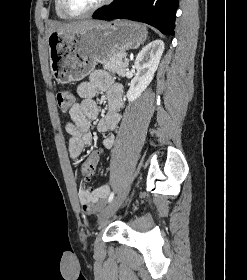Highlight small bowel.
Here are the masks:
<instances>
[{
  "instance_id": "1",
  "label": "small bowel",
  "mask_w": 247,
  "mask_h": 280,
  "mask_svg": "<svg viewBox=\"0 0 247 280\" xmlns=\"http://www.w3.org/2000/svg\"><path fill=\"white\" fill-rule=\"evenodd\" d=\"M97 92L106 93L108 101V110L101 118H99L100 108L94 100ZM77 93L82 100L73 104L69 110L70 121L66 124V132L70 136L68 153L73 160H77L84 148L92 143V134L89 131L91 122L98 120L97 130L100 133L115 130L120 122L119 110L122 105V87L116 84L106 71L93 72L88 81L78 85ZM114 142V135L107 134L103 138L102 148L111 149ZM108 194V185H102L93 191L81 190L79 201L83 211L87 214L96 213Z\"/></svg>"
}]
</instances>
